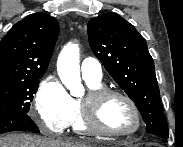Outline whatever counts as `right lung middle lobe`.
<instances>
[{
    "mask_svg": "<svg viewBox=\"0 0 183 147\" xmlns=\"http://www.w3.org/2000/svg\"><path fill=\"white\" fill-rule=\"evenodd\" d=\"M0 82V117L27 113L39 86V79Z\"/></svg>",
    "mask_w": 183,
    "mask_h": 147,
    "instance_id": "dd1d6c3e",
    "label": "right lung middle lobe"
}]
</instances>
